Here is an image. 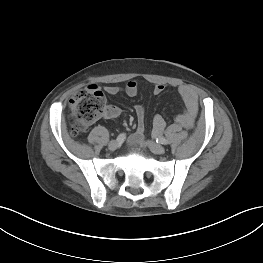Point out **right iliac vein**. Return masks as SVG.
Wrapping results in <instances>:
<instances>
[{
  "label": "right iliac vein",
  "instance_id": "obj_1",
  "mask_svg": "<svg viewBox=\"0 0 263 263\" xmlns=\"http://www.w3.org/2000/svg\"><path fill=\"white\" fill-rule=\"evenodd\" d=\"M118 145H119V142L117 140H112L109 142L108 148L110 151H114L117 149Z\"/></svg>",
  "mask_w": 263,
  "mask_h": 263
}]
</instances>
